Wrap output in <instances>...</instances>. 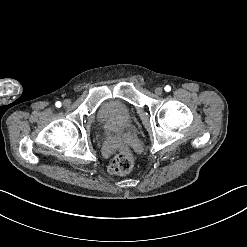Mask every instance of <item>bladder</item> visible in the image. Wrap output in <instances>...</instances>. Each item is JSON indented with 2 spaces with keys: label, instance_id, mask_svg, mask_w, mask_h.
<instances>
[{
  "label": "bladder",
  "instance_id": "1",
  "mask_svg": "<svg viewBox=\"0 0 247 247\" xmlns=\"http://www.w3.org/2000/svg\"><path fill=\"white\" fill-rule=\"evenodd\" d=\"M96 124L99 127L109 126L111 129L129 128L133 125L132 111L127 105L106 103L100 113H96Z\"/></svg>",
  "mask_w": 247,
  "mask_h": 247
}]
</instances>
